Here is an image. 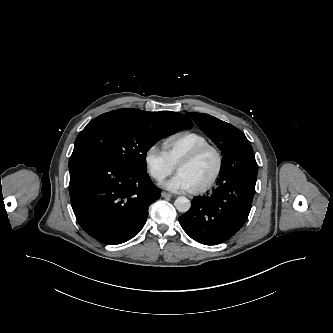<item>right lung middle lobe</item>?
<instances>
[{
	"label": "right lung middle lobe",
	"mask_w": 333,
	"mask_h": 333,
	"mask_svg": "<svg viewBox=\"0 0 333 333\" xmlns=\"http://www.w3.org/2000/svg\"><path fill=\"white\" fill-rule=\"evenodd\" d=\"M191 127L175 120L153 122L111 111L92 120L78 135L74 149L88 148L134 172H146L149 148L164 136Z\"/></svg>",
	"instance_id": "1"
}]
</instances>
